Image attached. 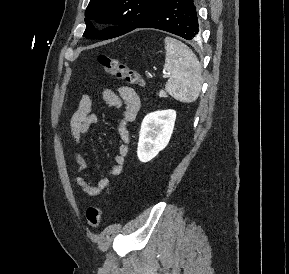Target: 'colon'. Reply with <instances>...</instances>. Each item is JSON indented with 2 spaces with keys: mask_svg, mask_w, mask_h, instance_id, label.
<instances>
[{
  "mask_svg": "<svg viewBox=\"0 0 289 274\" xmlns=\"http://www.w3.org/2000/svg\"><path fill=\"white\" fill-rule=\"evenodd\" d=\"M97 64L109 75L123 79L126 82L144 86L145 82L141 74L129 67L118 59L111 58L107 55H100L97 58ZM102 218V210L97 206H90L86 212V221L88 226L96 228L99 226Z\"/></svg>",
  "mask_w": 289,
  "mask_h": 274,
  "instance_id": "colon-1",
  "label": "colon"
}]
</instances>
